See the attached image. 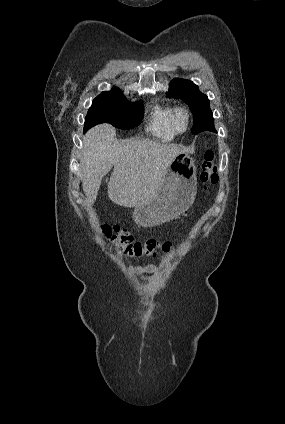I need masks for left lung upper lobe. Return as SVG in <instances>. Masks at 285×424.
<instances>
[{
  "label": "left lung upper lobe",
  "mask_w": 285,
  "mask_h": 424,
  "mask_svg": "<svg viewBox=\"0 0 285 424\" xmlns=\"http://www.w3.org/2000/svg\"><path fill=\"white\" fill-rule=\"evenodd\" d=\"M167 96L181 99L189 106L194 116L192 134L196 135L202 131L215 132L209 99L200 92L198 86L192 81L179 78L173 79L170 82Z\"/></svg>",
  "instance_id": "left-lung-upper-lobe-1"
}]
</instances>
